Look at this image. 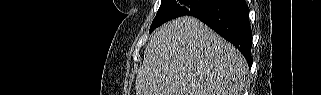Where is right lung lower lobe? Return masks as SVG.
Returning a JSON list of instances; mask_svg holds the SVG:
<instances>
[{
    "label": "right lung lower lobe",
    "mask_w": 321,
    "mask_h": 95,
    "mask_svg": "<svg viewBox=\"0 0 321 95\" xmlns=\"http://www.w3.org/2000/svg\"><path fill=\"white\" fill-rule=\"evenodd\" d=\"M189 15L230 41L244 55L251 68L252 31L245 0H211Z\"/></svg>",
    "instance_id": "obj_1"
}]
</instances>
